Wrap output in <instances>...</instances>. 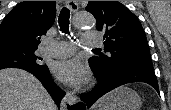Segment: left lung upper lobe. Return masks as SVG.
I'll list each match as a JSON object with an SVG mask.
<instances>
[{
  "label": "left lung upper lobe",
  "mask_w": 171,
  "mask_h": 110,
  "mask_svg": "<svg viewBox=\"0 0 171 110\" xmlns=\"http://www.w3.org/2000/svg\"><path fill=\"white\" fill-rule=\"evenodd\" d=\"M86 10L96 18V28L104 33L105 50L109 52V55L90 58L93 72L124 66L153 68L143 27L123 4L118 1H89Z\"/></svg>",
  "instance_id": "left-lung-upper-lobe-1"
}]
</instances>
